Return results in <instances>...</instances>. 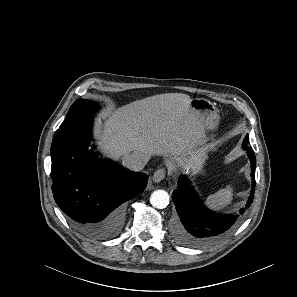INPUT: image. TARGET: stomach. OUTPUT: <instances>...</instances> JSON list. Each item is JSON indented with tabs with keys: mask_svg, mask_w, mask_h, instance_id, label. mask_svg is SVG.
Wrapping results in <instances>:
<instances>
[{
	"mask_svg": "<svg viewBox=\"0 0 297 297\" xmlns=\"http://www.w3.org/2000/svg\"><path fill=\"white\" fill-rule=\"evenodd\" d=\"M190 106L191 109L201 118L207 129H214L217 126L219 122L218 109L211 101L204 98H195L191 99ZM206 160L207 153L205 151L195 158L189 167V170L196 173L202 171L206 166Z\"/></svg>",
	"mask_w": 297,
	"mask_h": 297,
	"instance_id": "1",
	"label": "stomach"
}]
</instances>
